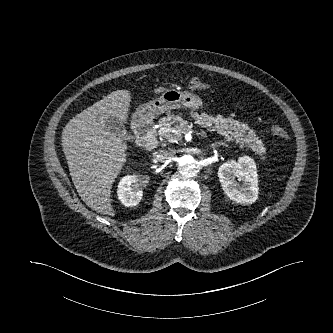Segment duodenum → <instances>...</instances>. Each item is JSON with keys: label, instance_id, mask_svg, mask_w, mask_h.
<instances>
[{"label": "duodenum", "instance_id": "410a0bca", "mask_svg": "<svg viewBox=\"0 0 333 333\" xmlns=\"http://www.w3.org/2000/svg\"><path fill=\"white\" fill-rule=\"evenodd\" d=\"M134 131L140 146L152 150L157 147V135L152 119L148 115L139 117L134 123Z\"/></svg>", "mask_w": 333, "mask_h": 333}]
</instances>
